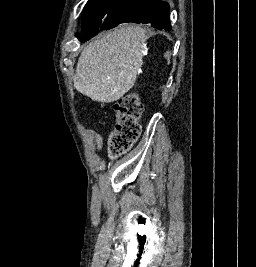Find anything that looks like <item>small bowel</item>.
<instances>
[{
	"mask_svg": "<svg viewBox=\"0 0 256 267\" xmlns=\"http://www.w3.org/2000/svg\"><path fill=\"white\" fill-rule=\"evenodd\" d=\"M94 139H95V142L98 144V146L100 147L101 146V137L99 135H95L94 136Z\"/></svg>",
	"mask_w": 256,
	"mask_h": 267,
	"instance_id": "small-bowel-1",
	"label": "small bowel"
}]
</instances>
